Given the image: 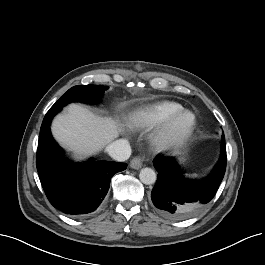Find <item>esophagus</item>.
<instances>
[{
    "label": "esophagus",
    "mask_w": 265,
    "mask_h": 265,
    "mask_svg": "<svg viewBox=\"0 0 265 265\" xmlns=\"http://www.w3.org/2000/svg\"><path fill=\"white\" fill-rule=\"evenodd\" d=\"M143 166V158L140 156L134 157L130 161V167L133 169H140Z\"/></svg>",
    "instance_id": "1"
}]
</instances>
